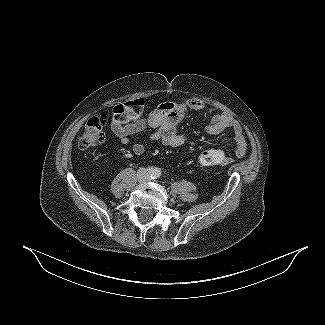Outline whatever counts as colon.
I'll return each instance as SVG.
<instances>
[{
	"instance_id": "colon-1",
	"label": "colon",
	"mask_w": 325,
	"mask_h": 325,
	"mask_svg": "<svg viewBox=\"0 0 325 325\" xmlns=\"http://www.w3.org/2000/svg\"><path fill=\"white\" fill-rule=\"evenodd\" d=\"M145 109L143 99H134L116 105L112 110V122L127 124L140 120ZM107 114L103 113L91 118L85 125L78 140L81 150L91 149L104 141V128L107 124ZM226 161L224 152L217 147L204 150L198 157V164L202 167L216 166Z\"/></svg>"
}]
</instances>
